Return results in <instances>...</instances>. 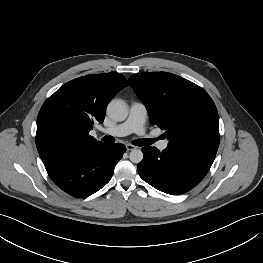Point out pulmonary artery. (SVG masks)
Instances as JSON below:
<instances>
[{"instance_id": "1", "label": "pulmonary artery", "mask_w": 263, "mask_h": 263, "mask_svg": "<svg viewBox=\"0 0 263 263\" xmlns=\"http://www.w3.org/2000/svg\"><path fill=\"white\" fill-rule=\"evenodd\" d=\"M146 118V106L142 102L135 101L131 103L128 117L124 122L114 125L110 128H104L101 130V132L115 137L126 136L131 133L144 135V125ZM168 144V140H161L158 142L157 147L160 150H165L168 147Z\"/></svg>"}]
</instances>
